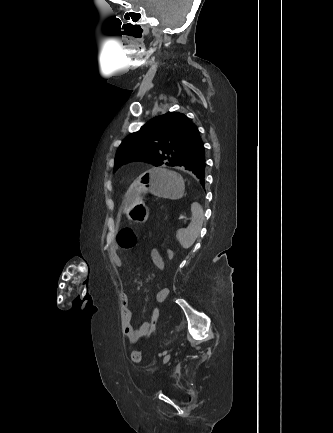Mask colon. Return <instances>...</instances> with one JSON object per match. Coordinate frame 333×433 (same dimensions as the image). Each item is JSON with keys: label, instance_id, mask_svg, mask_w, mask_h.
<instances>
[{"label": "colon", "instance_id": "1", "mask_svg": "<svg viewBox=\"0 0 333 433\" xmlns=\"http://www.w3.org/2000/svg\"><path fill=\"white\" fill-rule=\"evenodd\" d=\"M117 242L118 246L122 249H130L133 248L137 243V238L135 233L130 228H123L119 231L117 235ZM175 256V253L172 251V249H169V251L166 253V260L167 262H172V258ZM157 306H160V303H157ZM154 307L150 314L151 316L148 318L149 324H150V330H157V324L160 321V309L159 307ZM131 359L134 363H139L142 360V352L141 350H134L131 353Z\"/></svg>", "mask_w": 333, "mask_h": 433}]
</instances>
